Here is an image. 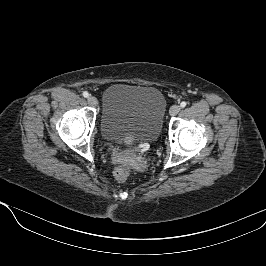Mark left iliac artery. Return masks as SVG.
<instances>
[{
  "mask_svg": "<svg viewBox=\"0 0 266 266\" xmlns=\"http://www.w3.org/2000/svg\"><path fill=\"white\" fill-rule=\"evenodd\" d=\"M186 105H187V103H186L185 101L181 102V104H180V106H181L182 108L186 107Z\"/></svg>",
  "mask_w": 266,
  "mask_h": 266,
  "instance_id": "left-iliac-artery-1",
  "label": "left iliac artery"
}]
</instances>
